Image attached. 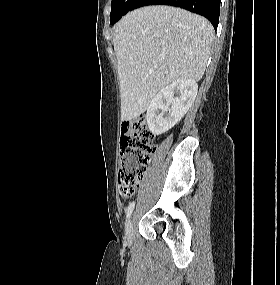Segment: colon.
Instances as JSON below:
<instances>
[{"label":"colon","mask_w":280,"mask_h":285,"mask_svg":"<svg viewBox=\"0 0 280 285\" xmlns=\"http://www.w3.org/2000/svg\"><path fill=\"white\" fill-rule=\"evenodd\" d=\"M155 150L154 135L148 129L145 117L138 116L121 127L119 193L131 197L146 172L149 155Z\"/></svg>","instance_id":"obj_1"}]
</instances>
